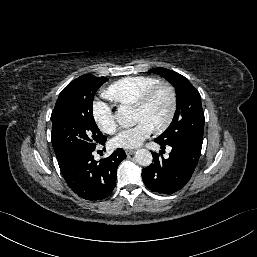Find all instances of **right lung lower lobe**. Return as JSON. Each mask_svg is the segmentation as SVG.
I'll return each instance as SVG.
<instances>
[{"label":"right lung lower lobe","mask_w":257,"mask_h":257,"mask_svg":"<svg viewBox=\"0 0 257 257\" xmlns=\"http://www.w3.org/2000/svg\"><path fill=\"white\" fill-rule=\"evenodd\" d=\"M94 150L75 151L58 161L69 187L78 196L91 201L102 200L111 194L116 184L117 167L126 157L124 150L118 148L111 156L98 162L92 155Z\"/></svg>","instance_id":"obj_1"}]
</instances>
